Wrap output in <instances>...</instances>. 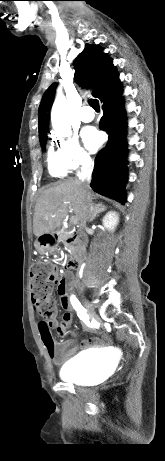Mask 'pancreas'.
<instances>
[{"label": "pancreas", "mask_w": 165, "mask_h": 461, "mask_svg": "<svg viewBox=\"0 0 165 461\" xmlns=\"http://www.w3.org/2000/svg\"><path fill=\"white\" fill-rule=\"evenodd\" d=\"M66 247L70 250V251H74L75 248L72 244H66Z\"/></svg>", "instance_id": "1"}]
</instances>
